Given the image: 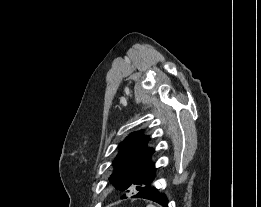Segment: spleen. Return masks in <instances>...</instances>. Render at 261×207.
Wrapping results in <instances>:
<instances>
[{
  "mask_svg": "<svg viewBox=\"0 0 261 207\" xmlns=\"http://www.w3.org/2000/svg\"><path fill=\"white\" fill-rule=\"evenodd\" d=\"M147 207H155L154 205H152V204H149V205H147Z\"/></svg>",
  "mask_w": 261,
  "mask_h": 207,
  "instance_id": "3e777b00",
  "label": "spleen"
}]
</instances>
